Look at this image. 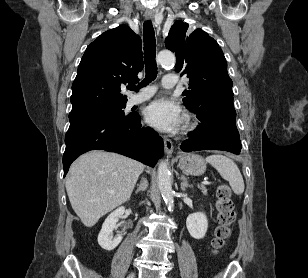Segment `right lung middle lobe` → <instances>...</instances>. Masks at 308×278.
<instances>
[{
    "instance_id": "1",
    "label": "right lung middle lobe",
    "mask_w": 308,
    "mask_h": 278,
    "mask_svg": "<svg viewBox=\"0 0 308 278\" xmlns=\"http://www.w3.org/2000/svg\"><path fill=\"white\" fill-rule=\"evenodd\" d=\"M125 103L123 104H117V105H112V106H108L105 108H101L98 110H94L82 115H77V116H69L70 121L76 118H80V117H86V116H98V117H103L106 119H117V118H124L127 116H131V114L129 115H125L123 108H125Z\"/></svg>"
}]
</instances>
